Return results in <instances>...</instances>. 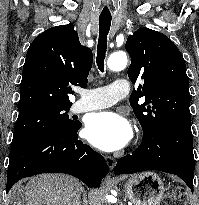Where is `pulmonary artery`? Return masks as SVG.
<instances>
[{"label": "pulmonary artery", "instance_id": "obj_1", "mask_svg": "<svg viewBox=\"0 0 199 205\" xmlns=\"http://www.w3.org/2000/svg\"><path fill=\"white\" fill-rule=\"evenodd\" d=\"M130 89L126 79L118 78L107 86L82 90L79 92L81 98L72 105L71 111L82 113L111 106L124 98Z\"/></svg>", "mask_w": 199, "mask_h": 205}]
</instances>
